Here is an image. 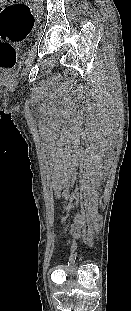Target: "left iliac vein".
Here are the masks:
<instances>
[{"mask_svg":"<svg viewBox=\"0 0 131 311\" xmlns=\"http://www.w3.org/2000/svg\"><path fill=\"white\" fill-rule=\"evenodd\" d=\"M36 1V6L38 9L41 8V3H42V0H35Z\"/></svg>","mask_w":131,"mask_h":311,"instance_id":"left-iliac-vein-1","label":"left iliac vein"}]
</instances>
